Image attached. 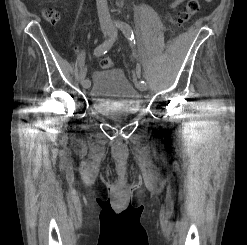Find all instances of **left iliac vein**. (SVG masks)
Listing matches in <instances>:
<instances>
[{"label":"left iliac vein","instance_id":"4c4485c4","mask_svg":"<svg viewBox=\"0 0 247 245\" xmlns=\"http://www.w3.org/2000/svg\"><path fill=\"white\" fill-rule=\"evenodd\" d=\"M111 37L115 38L116 37V32L114 31V29L111 30V33H110ZM138 88L141 90V91H145L147 89V86H142L140 84H138Z\"/></svg>","mask_w":247,"mask_h":245}]
</instances>
